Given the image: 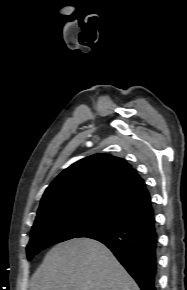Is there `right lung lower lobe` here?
<instances>
[{"mask_svg": "<svg viewBox=\"0 0 187 290\" xmlns=\"http://www.w3.org/2000/svg\"><path fill=\"white\" fill-rule=\"evenodd\" d=\"M87 238L105 244L141 290H156L158 235L154 213L133 218Z\"/></svg>", "mask_w": 187, "mask_h": 290, "instance_id": "right-lung-lower-lobe-1", "label": "right lung lower lobe"}]
</instances>
